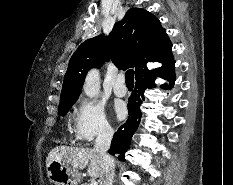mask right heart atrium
<instances>
[{"instance_id": "d8ad5b80", "label": "right heart atrium", "mask_w": 233, "mask_h": 185, "mask_svg": "<svg viewBox=\"0 0 233 185\" xmlns=\"http://www.w3.org/2000/svg\"><path fill=\"white\" fill-rule=\"evenodd\" d=\"M112 127L104 107L95 100L79 101L73 119L74 138L80 143H90L95 138L111 134Z\"/></svg>"}]
</instances>
